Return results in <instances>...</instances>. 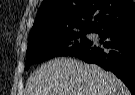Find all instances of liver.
Listing matches in <instances>:
<instances>
[{
	"label": "liver",
	"mask_w": 135,
	"mask_h": 95,
	"mask_svg": "<svg viewBox=\"0 0 135 95\" xmlns=\"http://www.w3.org/2000/svg\"><path fill=\"white\" fill-rule=\"evenodd\" d=\"M24 95H130L111 72L69 58L42 64L31 74Z\"/></svg>",
	"instance_id": "6515ba94"
}]
</instances>
